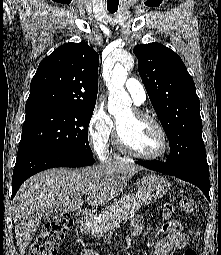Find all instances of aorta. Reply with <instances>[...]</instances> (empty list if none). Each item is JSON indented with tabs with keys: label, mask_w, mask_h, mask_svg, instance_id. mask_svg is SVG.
Listing matches in <instances>:
<instances>
[{
	"label": "aorta",
	"mask_w": 221,
	"mask_h": 255,
	"mask_svg": "<svg viewBox=\"0 0 221 255\" xmlns=\"http://www.w3.org/2000/svg\"><path fill=\"white\" fill-rule=\"evenodd\" d=\"M122 62H116L113 69H106L104 79L109 90L108 111L116 118L129 109L131 99L124 89L127 79V71L134 65L131 54L125 53L121 57Z\"/></svg>",
	"instance_id": "obj_1"
}]
</instances>
